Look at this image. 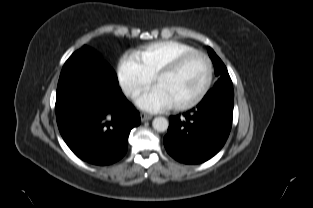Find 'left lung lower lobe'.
<instances>
[{
	"label": "left lung lower lobe",
	"instance_id": "1",
	"mask_svg": "<svg viewBox=\"0 0 313 208\" xmlns=\"http://www.w3.org/2000/svg\"><path fill=\"white\" fill-rule=\"evenodd\" d=\"M232 86L210 89L202 101L183 116H170L163 142L167 152L185 164H199L216 155L225 144L232 125Z\"/></svg>",
	"mask_w": 313,
	"mask_h": 208
}]
</instances>
